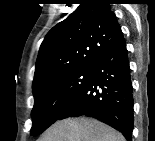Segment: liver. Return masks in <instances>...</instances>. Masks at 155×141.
<instances>
[{
  "label": "liver",
  "mask_w": 155,
  "mask_h": 141,
  "mask_svg": "<svg viewBox=\"0 0 155 141\" xmlns=\"http://www.w3.org/2000/svg\"><path fill=\"white\" fill-rule=\"evenodd\" d=\"M40 141H125V138L96 119L79 117L56 122Z\"/></svg>",
  "instance_id": "obj_1"
}]
</instances>
